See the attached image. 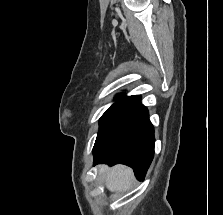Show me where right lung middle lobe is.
<instances>
[{
	"label": "right lung middle lobe",
	"mask_w": 223,
	"mask_h": 215,
	"mask_svg": "<svg viewBox=\"0 0 223 215\" xmlns=\"http://www.w3.org/2000/svg\"><path fill=\"white\" fill-rule=\"evenodd\" d=\"M121 98L119 101L114 103L100 118L99 120V132L93 147L95 151L98 146L105 140V138L112 132V130L137 106L141 104L140 96H123L119 95Z\"/></svg>",
	"instance_id": "obj_1"
}]
</instances>
